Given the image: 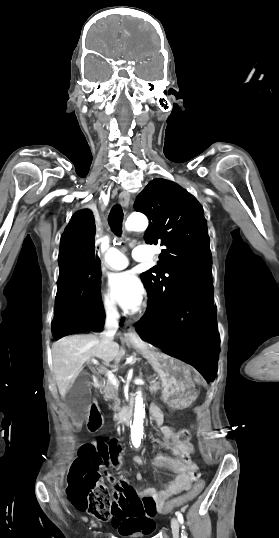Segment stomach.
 <instances>
[{"label": "stomach", "mask_w": 279, "mask_h": 538, "mask_svg": "<svg viewBox=\"0 0 279 538\" xmlns=\"http://www.w3.org/2000/svg\"><path fill=\"white\" fill-rule=\"evenodd\" d=\"M158 381L163 386V405L168 407L172 402L175 408L187 409L198 399L197 388L191 380L192 369L188 363H181L180 358H173L171 353H149L147 358Z\"/></svg>", "instance_id": "0dacf381"}]
</instances>
